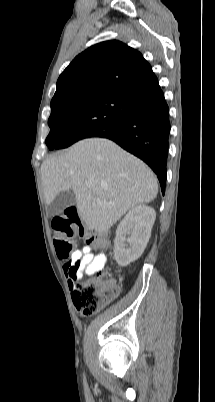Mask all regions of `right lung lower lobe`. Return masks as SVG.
I'll return each mask as SVG.
<instances>
[{
  "label": "right lung lower lobe",
  "instance_id": "obj_1",
  "mask_svg": "<svg viewBox=\"0 0 215 402\" xmlns=\"http://www.w3.org/2000/svg\"><path fill=\"white\" fill-rule=\"evenodd\" d=\"M169 133V108L161 91L137 101L124 120L94 137L108 138L147 163L164 195Z\"/></svg>",
  "mask_w": 215,
  "mask_h": 402
}]
</instances>
